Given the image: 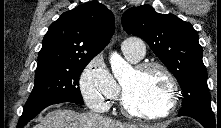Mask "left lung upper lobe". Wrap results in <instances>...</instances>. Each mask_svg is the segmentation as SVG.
I'll return each instance as SVG.
<instances>
[{
    "label": "left lung upper lobe",
    "mask_w": 221,
    "mask_h": 128,
    "mask_svg": "<svg viewBox=\"0 0 221 128\" xmlns=\"http://www.w3.org/2000/svg\"><path fill=\"white\" fill-rule=\"evenodd\" d=\"M121 20L127 34L144 39L178 80L183 96L179 114L213 112L203 51L193 26L173 14H159L148 5L126 10Z\"/></svg>",
    "instance_id": "5c2ea615"
}]
</instances>
